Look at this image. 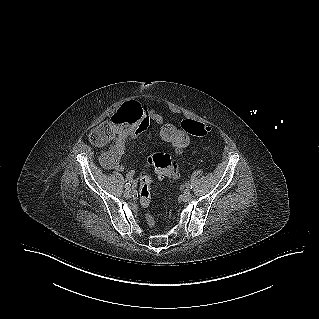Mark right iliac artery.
<instances>
[{
    "mask_svg": "<svg viewBox=\"0 0 319 319\" xmlns=\"http://www.w3.org/2000/svg\"><path fill=\"white\" fill-rule=\"evenodd\" d=\"M131 187V184L129 183V182H127L126 184H125V188L126 189H129Z\"/></svg>",
    "mask_w": 319,
    "mask_h": 319,
    "instance_id": "obj_1",
    "label": "right iliac artery"
}]
</instances>
